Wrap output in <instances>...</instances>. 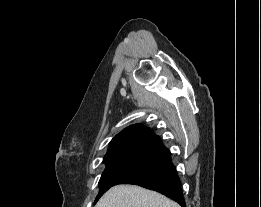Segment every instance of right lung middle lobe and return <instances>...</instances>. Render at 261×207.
<instances>
[{
  "label": "right lung middle lobe",
  "mask_w": 261,
  "mask_h": 207,
  "mask_svg": "<svg viewBox=\"0 0 261 207\" xmlns=\"http://www.w3.org/2000/svg\"><path fill=\"white\" fill-rule=\"evenodd\" d=\"M159 163L154 160L129 159L106 164L99 181L100 191L94 203L112 186L124 184L129 179L142 174Z\"/></svg>",
  "instance_id": "right-lung-middle-lobe-1"
}]
</instances>
